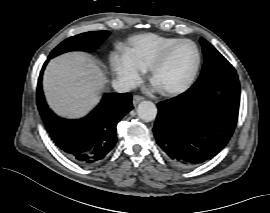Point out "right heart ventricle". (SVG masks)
<instances>
[{"label": "right heart ventricle", "mask_w": 270, "mask_h": 213, "mask_svg": "<svg viewBox=\"0 0 270 213\" xmlns=\"http://www.w3.org/2000/svg\"><path fill=\"white\" fill-rule=\"evenodd\" d=\"M177 40L157 34L139 35L130 39L129 46L122 49V56L130 65L147 69L163 49Z\"/></svg>", "instance_id": "e07e8e85"}]
</instances>
